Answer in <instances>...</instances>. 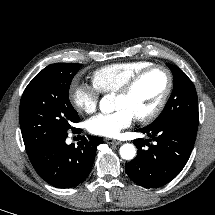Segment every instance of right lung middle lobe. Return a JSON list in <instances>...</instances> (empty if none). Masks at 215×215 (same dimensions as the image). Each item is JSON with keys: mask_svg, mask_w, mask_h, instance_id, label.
I'll return each instance as SVG.
<instances>
[{"mask_svg": "<svg viewBox=\"0 0 215 215\" xmlns=\"http://www.w3.org/2000/svg\"><path fill=\"white\" fill-rule=\"evenodd\" d=\"M81 64L55 63L39 72L26 87L19 121L28 156L67 136L79 116L69 101L71 81Z\"/></svg>", "mask_w": 215, "mask_h": 215, "instance_id": "right-lung-middle-lobe-1", "label": "right lung middle lobe"}]
</instances>
